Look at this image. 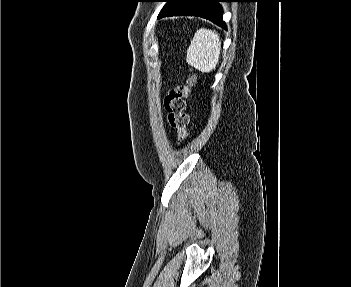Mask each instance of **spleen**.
<instances>
[{
    "label": "spleen",
    "instance_id": "1",
    "mask_svg": "<svg viewBox=\"0 0 351 287\" xmlns=\"http://www.w3.org/2000/svg\"><path fill=\"white\" fill-rule=\"evenodd\" d=\"M221 51L220 37L216 31L199 29L187 49L186 61L201 72L209 73L219 62Z\"/></svg>",
    "mask_w": 351,
    "mask_h": 287
}]
</instances>
